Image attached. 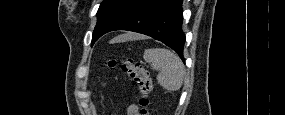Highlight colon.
<instances>
[{"label": "colon", "instance_id": "colon-1", "mask_svg": "<svg viewBox=\"0 0 285 115\" xmlns=\"http://www.w3.org/2000/svg\"><path fill=\"white\" fill-rule=\"evenodd\" d=\"M120 65L124 71L137 85L140 93L139 104L141 106L140 114H150L148 106L150 104V93L152 91V80L149 72L139 63L128 59H110L108 66L114 68Z\"/></svg>", "mask_w": 285, "mask_h": 115}]
</instances>
